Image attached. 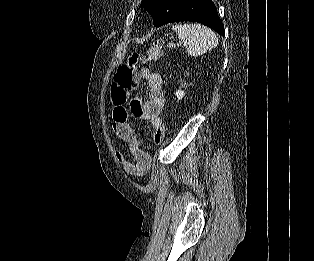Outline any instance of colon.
<instances>
[{"label":"colon","instance_id":"1","mask_svg":"<svg viewBox=\"0 0 314 261\" xmlns=\"http://www.w3.org/2000/svg\"><path fill=\"white\" fill-rule=\"evenodd\" d=\"M161 56V42H153L146 52H133L129 55L128 61L118 67L116 70L113 83L111 85V102L112 104L121 105L127 102L131 90L136 84L135 70L140 63H152L157 61ZM166 126L161 123L154 130L153 140L155 144H160L165 136Z\"/></svg>","mask_w":314,"mask_h":261}]
</instances>
